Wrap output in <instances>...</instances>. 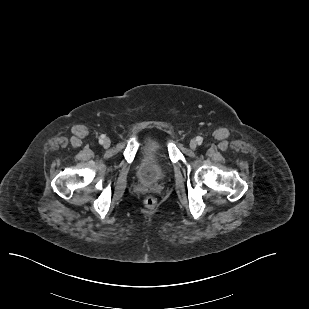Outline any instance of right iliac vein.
<instances>
[{
  "label": "right iliac vein",
  "mask_w": 309,
  "mask_h": 309,
  "mask_svg": "<svg viewBox=\"0 0 309 309\" xmlns=\"http://www.w3.org/2000/svg\"><path fill=\"white\" fill-rule=\"evenodd\" d=\"M103 147L104 148H108L109 146H110V144H111V141H110V139L109 138H105L104 140H103Z\"/></svg>",
  "instance_id": "1"
}]
</instances>
